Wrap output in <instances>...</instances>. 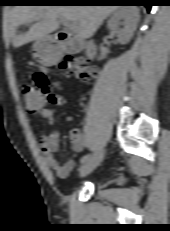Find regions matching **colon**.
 Wrapping results in <instances>:
<instances>
[{
  "instance_id": "colon-1",
  "label": "colon",
  "mask_w": 170,
  "mask_h": 231,
  "mask_svg": "<svg viewBox=\"0 0 170 231\" xmlns=\"http://www.w3.org/2000/svg\"><path fill=\"white\" fill-rule=\"evenodd\" d=\"M60 68L66 73L74 74L84 81L90 80L97 73L96 68L89 66L84 60L71 57L64 58ZM21 90L28 112L33 115L39 114L45 106L43 93L32 84H24ZM76 134L77 131L72 132V136Z\"/></svg>"
}]
</instances>
